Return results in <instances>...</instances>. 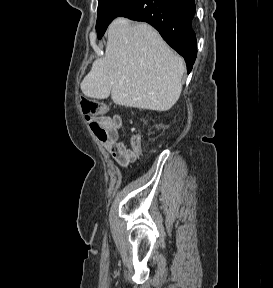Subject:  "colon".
Here are the masks:
<instances>
[{
    "mask_svg": "<svg viewBox=\"0 0 273 288\" xmlns=\"http://www.w3.org/2000/svg\"><path fill=\"white\" fill-rule=\"evenodd\" d=\"M81 107L93 133L98 139L106 138L107 134L99 122V118L107 111L105 103L93 98H82ZM134 141L137 139L135 138Z\"/></svg>",
    "mask_w": 273,
    "mask_h": 288,
    "instance_id": "colon-1",
    "label": "colon"
}]
</instances>
